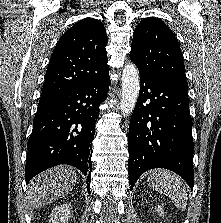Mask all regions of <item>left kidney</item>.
Masks as SVG:
<instances>
[{"instance_id": "5707ae66", "label": "left kidney", "mask_w": 221, "mask_h": 223, "mask_svg": "<svg viewBox=\"0 0 221 223\" xmlns=\"http://www.w3.org/2000/svg\"><path fill=\"white\" fill-rule=\"evenodd\" d=\"M155 210H156V212L158 213L159 216H164L165 215L164 209L161 206L158 205L157 207H155Z\"/></svg>"}]
</instances>
